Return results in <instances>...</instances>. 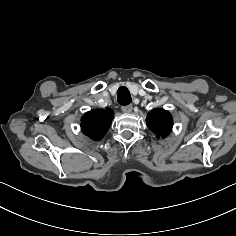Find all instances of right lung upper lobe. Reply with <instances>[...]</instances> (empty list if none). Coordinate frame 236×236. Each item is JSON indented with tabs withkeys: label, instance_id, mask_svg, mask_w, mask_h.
I'll use <instances>...</instances> for the list:
<instances>
[{
	"label": "right lung upper lobe",
	"instance_id": "right-lung-upper-lobe-1",
	"mask_svg": "<svg viewBox=\"0 0 236 236\" xmlns=\"http://www.w3.org/2000/svg\"><path fill=\"white\" fill-rule=\"evenodd\" d=\"M114 112L111 109H97L87 112L81 118L82 132L93 140L101 139L108 131Z\"/></svg>",
	"mask_w": 236,
	"mask_h": 236
}]
</instances>
